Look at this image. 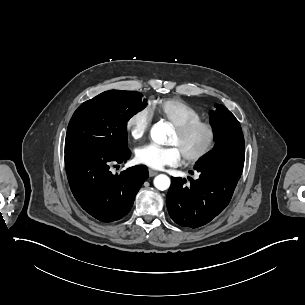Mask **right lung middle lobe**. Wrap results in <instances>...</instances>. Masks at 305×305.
Wrapping results in <instances>:
<instances>
[{"mask_svg": "<svg viewBox=\"0 0 305 305\" xmlns=\"http://www.w3.org/2000/svg\"><path fill=\"white\" fill-rule=\"evenodd\" d=\"M147 105L135 91L110 90L84 102L73 114L65 154L113 155L127 149V122Z\"/></svg>", "mask_w": 305, "mask_h": 305, "instance_id": "1", "label": "right lung middle lobe"}]
</instances>
